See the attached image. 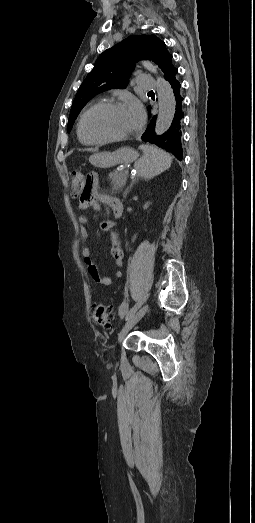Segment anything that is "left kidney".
Instances as JSON below:
<instances>
[{"label":"left kidney","mask_w":255,"mask_h":523,"mask_svg":"<svg viewBox=\"0 0 255 523\" xmlns=\"http://www.w3.org/2000/svg\"><path fill=\"white\" fill-rule=\"evenodd\" d=\"M149 204H150V202H146V204H144V210H147Z\"/></svg>","instance_id":"obj_1"}]
</instances>
